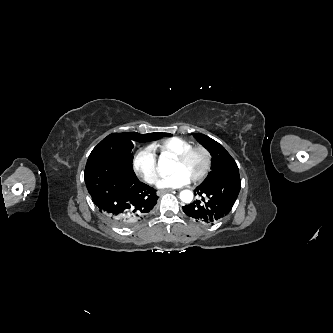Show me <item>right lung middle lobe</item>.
Returning a JSON list of instances; mask_svg holds the SVG:
<instances>
[{"mask_svg":"<svg viewBox=\"0 0 333 333\" xmlns=\"http://www.w3.org/2000/svg\"><path fill=\"white\" fill-rule=\"evenodd\" d=\"M163 135H167V133H158L156 135H141L136 132L110 134L92 150L87 163L94 160H104L115 162L133 169L132 141L142 139L155 140Z\"/></svg>","mask_w":333,"mask_h":333,"instance_id":"1","label":"right lung middle lobe"}]
</instances>
